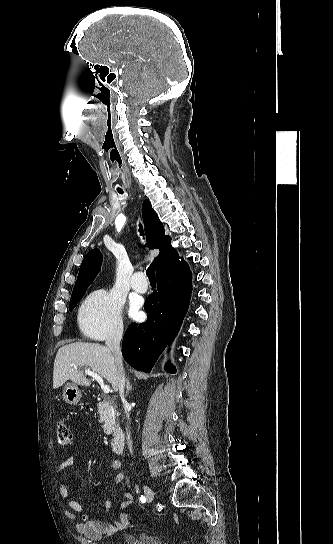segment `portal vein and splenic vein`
<instances>
[{"label": "portal vein and splenic vein", "instance_id": "18ae733b", "mask_svg": "<svg viewBox=\"0 0 333 544\" xmlns=\"http://www.w3.org/2000/svg\"><path fill=\"white\" fill-rule=\"evenodd\" d=\"M72 367L77 369V365H75V364H72ZM85 373L87 375L93 377L99 383V385H100V387H101V389H102V391L104 393H109L111 391L110 386L104 384V381H103L102 377L99 374L93 372L91 369H86Z\"/></svg>", "mask_w": 333, "mask_h": 544}]
</instances>
